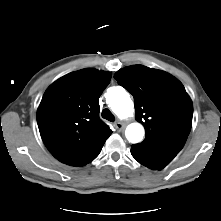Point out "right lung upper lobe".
<instances>
[{
  "label": "right lung upper lobe",
  "instance_id": "right-lung-upper-lobe-1",
  "mask_svg": "<svg viewBox=\"0 0 221 221\" xmlns=\"http://www.w3.org/2000/svg\"><path fill=\"white\" fill-rule=\"evenodd\" d=\"M111 73L87 68L55 81L37 110L42 140L60 162L76 166L103 145L112 130L99 118V97Z\"/></svg>",
  "mask_w": 221,
  "mask_h": 221
}]
</instances>
